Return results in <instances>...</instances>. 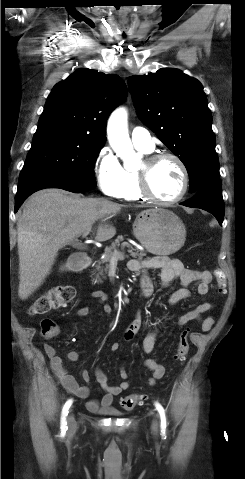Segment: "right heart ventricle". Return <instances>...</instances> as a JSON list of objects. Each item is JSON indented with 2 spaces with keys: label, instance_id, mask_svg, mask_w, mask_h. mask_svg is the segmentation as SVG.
<instances>
[{
  "label": "right heart ventricle",
  "instance_id": "obj_1",
  "mask_svg": "<svg viewBox=\"0 0 245 479\" xmlns=\"http://www.w3.org/2000/svg\"><path fill=\"white\" fill-rule=\"evenodd\" d=\"M139 150L144 153H148V151L146 150H143V149H139ZM118 197L128 201H138V200L144 199V197L141 195L138 188L137 171L124 170V185Z\"/></svg>",
  "mask_w": 245,
  "mask_h": 479
}]
</instances>
